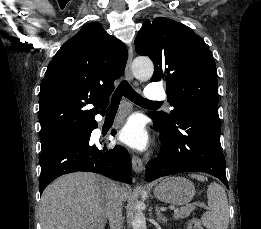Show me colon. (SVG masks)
Masks as SVG:
<instances>
[{"label":"colon","mask_w":261,"mask_h":229,"mask_svg":"<svg viewBox=\"0 0 261 229\" xmlns=\"http://www.w3.org/2000/svg\"><path fill=\"white\" fill-rule=\"evenodd\" d=\"M188 229H200V222L198 220H191L188 223Z\"/></svg>","instance_id":"5ec220e1"}]
</instances>
